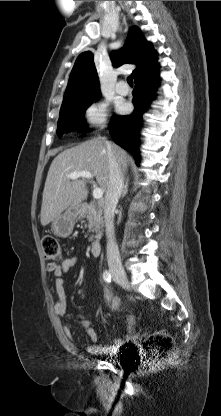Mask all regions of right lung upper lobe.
<instances>
[{
	"mask_svg": "<svg viewBox=\"0 0 221 416\" xmlns=\"http://www.w3.org/2000/svg\"><path fill=\"white\" fill-rule=\"evenodd\" d=\"M111 60L115 66L124 63L135 64L137 67L132 72L135 79L159 69L157 52L145 40L140 29L136 26L130 28L123 48L112 51ZM98 94H100V90L93 54L90 51L83 52L76 59L63 102L88 98Z\"/></svg>",
	"mask_w": 221,
	"mask_h": 416,
	"instance_id": "obj_1",
	"label": "right lung upper lobe"
}]
</instances>
